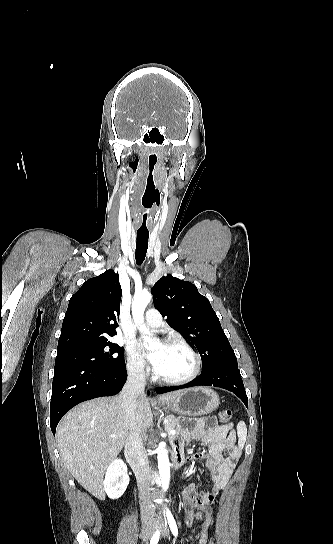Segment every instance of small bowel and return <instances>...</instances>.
Instances as JSON below:
<instances>
[{
  "label": "small bowel",
  "instance_id": "obj_1",
  "mask_svg": "<svg viewBox=\"0 0 333 544\" xmlns=\"http://www.w3.org/2000/svg\"><path fill=\"white\" fill-rule=\"evenodd\" d=\"M192 440L199 441L205 447L193 459L204 461L212 490L199 493L193 483L187 484L183 491V506L187 523H192L195 518L201 521L196 539L198 544H206L212 524V498L228 484L240 458L241 448L235 443L236 433L231 426L217 425L213 417L192 420V426L184 429L182 437L174 442V449L182 455L183 462L188 459L183 454V444Z\"/></svg>",
  "mask_w": 333,
  "mask_h": 544
}]
</instances>
